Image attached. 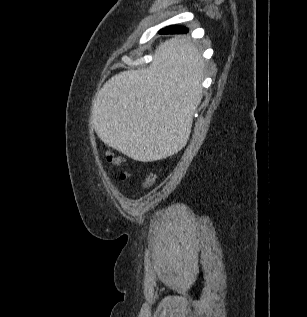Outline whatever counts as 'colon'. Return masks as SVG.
I'll return each mask as SVG.
<instances>
[{"label":"colon","instance_id":"1","mask_svg":"<svg viewBox=\"0 0 307 317\" xmlns=\"http://www.w3.org/2000/svg\"><path fill=\"white\" fill-rule=\"evenodd\" d=\"M105 160L107 163L111 164V165H114V166H119V165H122L124 162H125V159L119 155H115L113 154L112 152L110 151H107L105 153ZM129 177V172L128 171H122L121 174H120V179L122 181H125L127 178ZM156 174L154 172H149L143 183H142V187L145 188V189H148L150 187H152L155 182H156Z\"/></svg>","mask_w":307,"mask_h":317}]
</instances>
